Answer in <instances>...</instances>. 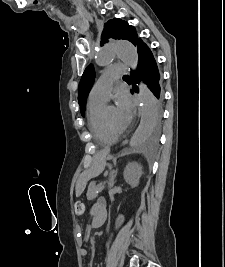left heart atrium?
I'll return each instance as SVG.
<instances>
[{
	"label": "left heart atrium",
	"mask_w": 225,
	"mask_h": 267,
	"mask_svg": "<svg viewBox=\"0 0 225 267\" xmlns=\"http://www.w3.org/2000/svg\"><path fill=\"white\" fill-rule=\"evenodd\" d=\"M116 115L122 128L129 125L133 117V104L129 95L125 92H119L116 97Z\"/></svg>",
	"instance_id": "39dd6f15"
}]
</instances>
